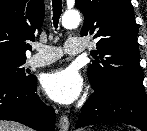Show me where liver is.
I'll use <instances>...</instances> for the list:
<instances>
[{
	"label": "liver",
	"mask_w": 147,
	"mask_h": 131,
	"mask_svg": "<svg viewBox=\"0 0 147 131\" xmlns=\"http://www.w3.org/2000/svg\"><path fill=\"white\" fill-rule=\"evenodd\" d=\"M0 131H31V130L17 122L0 121Z\"/></svg>",
	"instance_id": "6515ba94"
}]
</instances>
